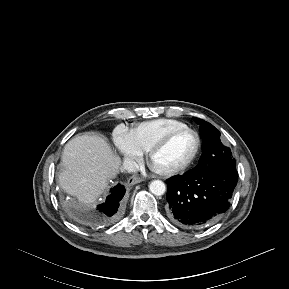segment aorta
Segmentation results:
<instances>
[{"instance_id":"aorta-1","label":"aorta","mask_w":289,"mask_h":289,"mask_svg":"<svg viewBox=\"0 0 289 289\" xmlns=\"http://www.w3.org/2000/svg\"><path fill=\"white\" fill-rule=\"evenodd\" d=\"M149 190L152 194L156 196H161L165 193L166 191V186L163 181L161 180H153L149 184Z\"/></svg>"}]
</instances>
